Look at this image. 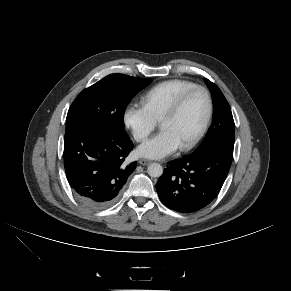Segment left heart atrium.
<instances>
[{
	"label": "left heart atrium",
	"mask_w": 291,
	"mask_h": 291,
	"mask_svg": "<svg viewBox=\"0 0 291 291\" xmlns=\"http://www.w3.org/2000/svg\"><path fill=\"white\" fill-rule=\"evenodd\" d=\"M176 137L168 130H162L159 134L145 141L138 147V154L149 159L163 158L179 147Z\"/></svg>",
	"instance_id": "left-heart-atrium-1"
}]
</instances>
